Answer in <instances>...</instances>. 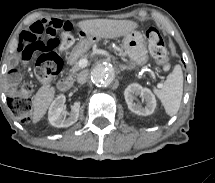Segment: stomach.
I'll use <instances>...</instances> for the list:
<instances>
[{
    "instance_id": "obj_1",
    "label": "stomach",
    "mask_w": 215,
    "mask_h": 183,
    "mask_svg": "<svg viewBox=\"0 0 215 183\" xmlns=\"http://www.w3.org/2000/svg\"><path fill=\"white\" fill-rule=\"evenodd\" d=\"M97 41V38H82L79 43L72 49L70 59L82 55ZM123 49L132 61L133 65L143 66L148 60V50L143 35L138 31H132L123 38Z\"/></svg>"
}]
</instances>
